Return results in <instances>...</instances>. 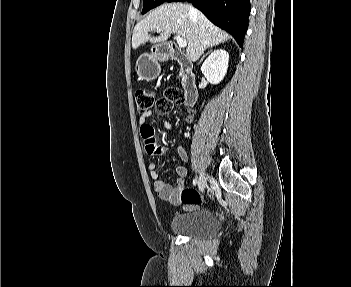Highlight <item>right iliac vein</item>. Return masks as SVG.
<instances>
[{
    "label": "right iliac vein",
    "instance_id": "obj_1",
    "mask_svg": "<svg viewBox=\"0 0 351 287\" xmlns=\"http://www.w3.org/2000/svg\"><path fill=\"white\" fill-rule=\"evenodd\" d=\"M198 187L200 189V191H204L205 187H206V173L205 172H201L200 177H199V181H198Z\"/></svg>",
    "mask_w": 351,
    "mask_h": 287
}]
</instances>
